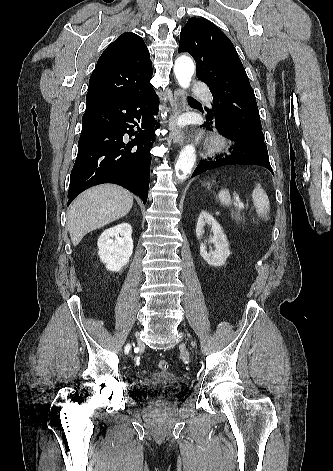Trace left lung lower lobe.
Listing matches in <instances>:
<instances>
[{"label":"left lung lower lobe","mask_w":333,"mask_h":471,"mask_svg":"<svg viewBox=\"0 0 333 471\" xmlns=\"http://www.w3.org/2000/svg\"><path fill=\"white\" fill-rule=\"evenodd\" d=\"M203 112V111H202ZM205 127L211 129L214 126L221 134L229 138L233 143L232 155L221 157L216 161L200 162L192 177L199 175L206 170L232 164H255L266 167L273 175L268 151L265 143L245 140L230 133L223 124L212 120L206 114Z\"/></svg>","instance_id":"1"}]
</instances>
